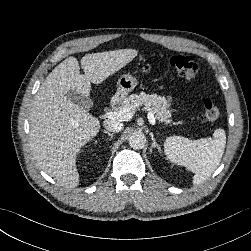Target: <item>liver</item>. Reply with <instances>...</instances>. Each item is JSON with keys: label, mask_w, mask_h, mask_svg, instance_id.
<instances>
[{"label": "liver", "mask_w": 251, "mask_h": 251, "mask_svg": "<svg viewBox=\"0 0 251 251\" xmlns=\"http://www.w3.org/2000/svg\"><path fill=\"white\" fill-rule=\"evenodd\" d=\"M138 52L122 49L87 54L78 60L68 57L46 77L30 114V146L40 168L58 183L79 184L77 155L100 129V122L87 110L73 103L67 93L75 90L83 97L91 92V83L100 84L130 61Z\"/></svg>", "instance_id": "liver-1"}]
</instances>
